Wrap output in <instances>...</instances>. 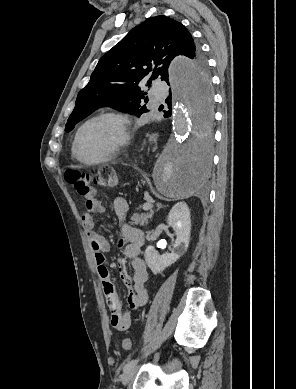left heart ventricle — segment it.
Listing matches in <instances>:
<instances>
[{
  "instance_id": "left-heart-ventricle-1",
  "label": "left heart ventricle",
  "mask_w": 296,
  "mask_h": 389,
  "mask_svg": "<svg viewBox=\"0 0 296 389\" xmlns=\"http://www.w3.org/2000/svg\"><path fill=\"white\" fill-rule=\"evenodd\" d=\"M120 138V130L113 119H100L82 132L78 151L82 158L94 160L103 156Z\"/></svg>"
}]
</instances>
